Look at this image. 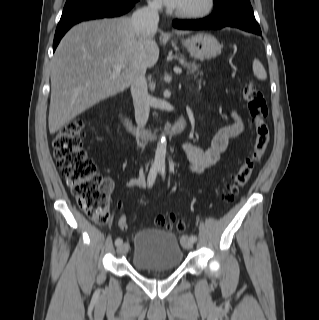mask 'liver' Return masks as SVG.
Listing matches in <instances>:
<instances>
[{
    "label": "liver",
    "mask_w": 319,
    "mask_h": 320,
    "mask_svg": "<svg viewBox=\"0 0 319 320\" xmlns=\"http://www.w3.org/2000/svg\"><path fill=\"white\" fill-rule=\"evenodd\" d=\"M155 33H137L130 17L83 22L70 29L52 60L50 134L93 105L126 90L141 68L153 67L159 58ZM115 64L125 68L111 79Z\"/></svg>",
    "instance_id": "6515ba94"
}]
</instances>
